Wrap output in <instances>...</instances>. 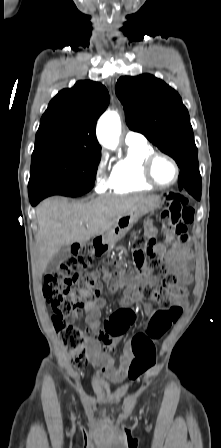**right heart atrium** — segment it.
I'll return each mask as SVG.
<instances>
[{"instance_id": "1", "label": "right heart atrium", "mask_w": 221, "mask_h": 448, "mask_svg": "<svg viewBox=\"0 0 221 448\" xmlns=\"http://www.w3.org/2000/svg\"><path fill=\"white\" fill-rule=\"evenodd\" d=\"M107 157L102 155L96 167V188L105 191L109 186L110 177L106 174Z\"/></svg>"}]
</instances>
